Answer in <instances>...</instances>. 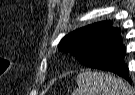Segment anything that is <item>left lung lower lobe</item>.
<instances>
[{
	"instance_id": "obj_1",
	"label": "left lung lower lobe",
	"mask_w": 135,
	"mask_h": 95,
	"mask_svg": "<svg viewBox=\"0 0 135 95\" xmlns=\"http://www.w3.org/2000/svg\"><path fill=\"white\" fill-rule=\"evenodd\" d=\"M126 54L120 33L102 40V42L92 51L89 59L83 64L86 67L111 71L126 79L130 84L128 66L124 62Z\"/></svg>"
}]
</instances>
